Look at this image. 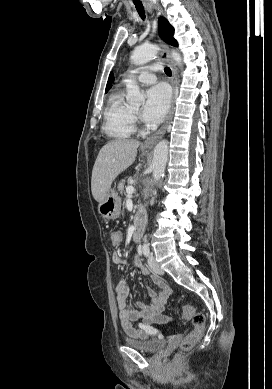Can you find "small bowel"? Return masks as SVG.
<instances>
[{"mask_svg": "<svg viewBox=\"0 0 272 389\" xmlns=\"http://www.w3.org/2000/svg\"><path fill=\"white\" fill-rule=\"evenodd\" d=\"M112 260L116 264L125 263V260L117 252L113 253ZM136 263L140 267L142 274L150 276L159 288L158 291L149 290V294L152 297L151 304L147 305L137 302L134 306H128L129 287L125 280L118 281L115 286V294L123 330L128 336L143 340L157 334L158 331L155 325L169 321V318L163 312L171 293V288L159 276L150 274L148 269L142 267L138 260Z\"/></svg>", "mask_w": 272, "mask_h": 389, "instance_id": "small-bowel-1", "label": "small bowel"}]
</instances>
